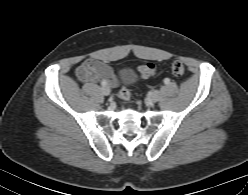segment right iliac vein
Returning a JSON list of instances; mask_svg holds the SVG:
<instances>
[{
	"instance_id": "63e3f726",
	"label": "right iliac vein",
	"mask_w": 248,
	"mask_h": 195,
	"mask_svg": "<svg viewBox=\"0 0 248 195\" xmlns=\"http://www.w3.org/2000/svg\"><path fill=\"white\" fill-rule=\"evenodd\" d=\"M101 92H102L103 95L107 96V95L110 94L111 90H110V88L108 86H103L101 88Z\"/></svg>"
}]
</instances>
